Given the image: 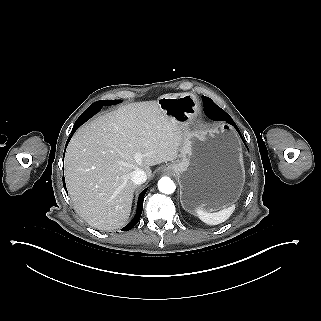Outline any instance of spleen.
Here are the masks:
<instances>
[{"label":"spleen","mask_w":321,"mask_h":321,"mask_svg":"<svg viewBox=\"0 0 321 321\" xmlns=\"http://www.w3.org/2000/svg\"><path fill=\"white\" fill-rule=\"evenodd\" d=\"M236 205L232 204L231 206L224 208L218 212L209 213L200 208L196 210L198 218L208 224V225H218L225 222L235 211Z\"/></svg>","instance_id":"3e777b00"}]
</instances>
